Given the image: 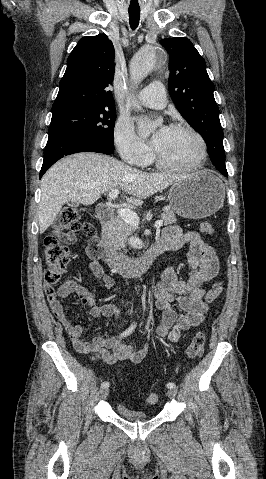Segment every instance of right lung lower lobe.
<instances>
[{"instance_id":"obj_1","label":"right lung lower lobe","mask_w":266,"mask_h":479,"mask_svg":"<svg viewBox=\"0 0 266 479\" xmlns=\"http://www.w3.org/2000/svg\"><path fill=\"white\" fill-rule=\"evenodd\" d=\"M114 147L88 137L62 132L49 133L40 178L60 158L77 152L112 154Z\"/></svg>"}]
</instances>
